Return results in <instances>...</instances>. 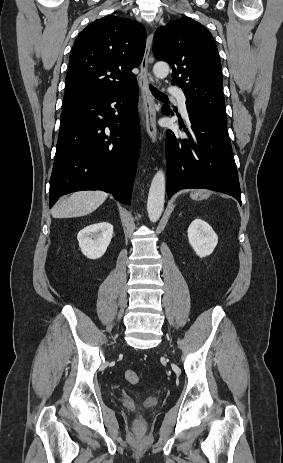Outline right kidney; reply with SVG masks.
I'll use <instances>...</instances> for the list:
<instances>
[{
  "instance_id": "obj_1",
  "label": "right kidney",
  "mask_w": 283,
  "mask_h": 463,
  "mask_svg": "<svg viewBox=\"0 0 283 463\" xmlns=\"http://www.w3.org/2000/svg\"><path fill=\"white\" fill-rule=\"evenodd\" d=\"M113 235V226L108 222H100L82 229L77 239L82 253L90 259H98L104 255Z\"/></svg>"
}]
</instances>
